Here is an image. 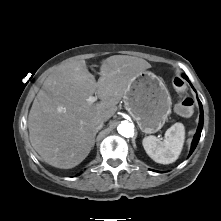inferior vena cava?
Wrapping results in <instances>:
<instances>
[{
  "instance_id": "inferior-vena-cava-1",
  "label": "inferior vena cava",
  "mask_w": 221,
  "mask_h": 221,
  "mask_svg": "<svg viewBox=\"0 0 221 221\" xmlns=\"http://www.w3.org/2000/svg\"><path fill=\"white\" fill-rule=\"evenodd\" d=\"M103 121L101 119L93 120L90 124V128L93 132L100 130L103 127Z\"/></svg>"
}]
</instances>
